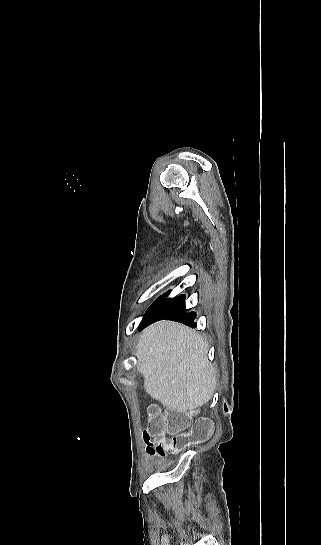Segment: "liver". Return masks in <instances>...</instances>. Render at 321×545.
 <instances>
[{"label":"liver","mask_w":321,"mask_h":545,"mask_svg":"<svg viewBox=\"0 0 321 545\" xmlns=\"http://www.w3.org/2000/svg\"><path fill=\"white\" fill-rule=\"evenodd\" d=\"M207 353L208 343L185 325L172 321L150 325L137 347L146 393L177 413L205 405L216 387V371Z\"/></svg>","instance_id":"obj_1"}]
</instances>
